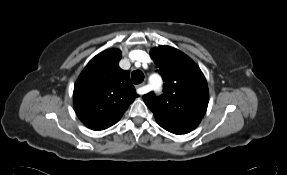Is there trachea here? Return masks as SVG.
I'll use <instances>...</instances> for the list:
<instances>
[{"label": "trachea", "instance_id": "obj_1", "mask_svg": "<svg viewBox=\"0 0 287 175\" xmlns=\"http://www.w3.org/2000/svg\"><path fill=\"white\" fill-rule=\"evenodd\" d=\"M131 79L134 84H140L144 80V74L140 70H135L131 74Z\"/></svg>", "mask_w": 287, "mask_h": 175}]
</instances>
